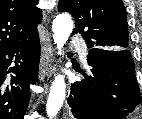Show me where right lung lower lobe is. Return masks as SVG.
<instances>
[{
  "mask_svg": "<svg viewBox=\"0 0 142 119\" xmlns=\"http://www.w3.org/2000/svg\"><path fill=\"white\" fill-rule=\"evenodd\" d=\"M39 60L38 32L20 44L0 49V119H23L29 85L38 78Z\"/></svg>",
  "mask_w": 142,
  "mask_h": 119,
  "instance_id": "obj_1",
  "label": "right lung lower lobe"
}]
</instances>
